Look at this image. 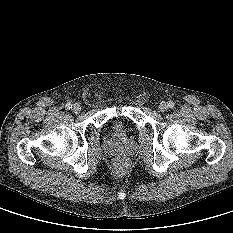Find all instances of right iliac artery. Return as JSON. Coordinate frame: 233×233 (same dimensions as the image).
Here are the masks:
<instances>
[{"label": "right iliac artery", "mask_w": 233, "mask_h": 233, "mask_svg": "<svg viewBox=\"0 0 233 233\" xmlns=\"http://www.w3.org/2000/svg\"><path fill=\"white\" fill-rule=\"evenodd\" d=\"M65 107H66V109H71L72 108V104L71 103H67L66 105H65Z\"/></svg>", "instance_id": "right-iliac-artery-1"}]
</instances>
